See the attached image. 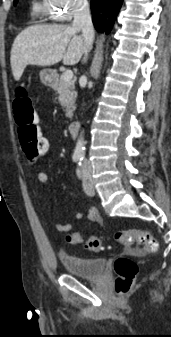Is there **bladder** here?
Here are the masks:
<instances>
[{"label":"bladder","instance_id":"1","mask_svg":"<svg viewBox=\"0 0 171 337\" xmlns=\"http://www.w3.org/2000/svg\"><path fill=\"white\" fill-rule=\"evenodd\" d=\"M61 262L67 274L94 279L102 276L106 261L103 258H85L63 253Z\"/></svg>","mask_w":171,"mask_h":337}]
</instances>
